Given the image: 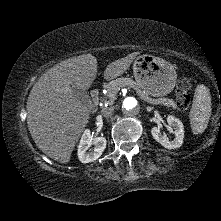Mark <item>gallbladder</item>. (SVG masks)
Segmentation results:
<instances>
[{"instance_id":"obj_1","label":"gallbladder","mask_w":221,"mask_h":221,"mask_svg":"<svg viewBox=\"0 0 221 221\" xmlns=\"http://www.w3.org/2000/svg\"><path fill=\"white\" fill-rule=\"evenodd\" d=\"M72 93L76 97V99L81 103H87L89 100L87 93L83 90H79L73 87Z\"/></svg>"}]
</instances>
